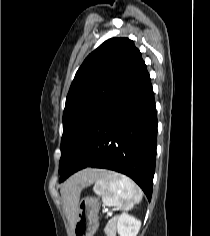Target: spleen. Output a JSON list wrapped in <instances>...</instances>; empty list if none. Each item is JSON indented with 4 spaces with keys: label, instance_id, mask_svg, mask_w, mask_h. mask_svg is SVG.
I'll list each match as a JSON object with an SVG mask.
<instances>
[{
    "label": "spleen",
    "instance_id": "1",
    "mask_svg": "<svg viewBox=\"0 0 210 236\" xmlns=\"http://www.w3.org/2000/svg\"><path fill=\"white\" fill-rule=\"evenodd\" d=\"M94 192L102 197L103 204L120 210H130L142 200L139 187L129 177L105 171L95 181Z\"/></svg>",
    "mask_w": 210,
    "mask_h": 236
}]
</instances>
